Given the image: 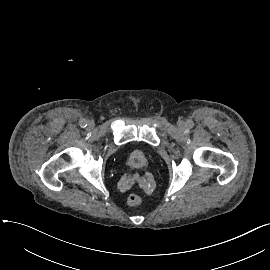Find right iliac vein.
<instances>
[{
    "instance_id": "63e3f726",
    "label": "right iliac vein",
    "mask_w": 270,
    "mask_h": 270,
    "mask_svg": "<svg viewBox=\"0 0 270 270\" xmlns=\"http://www.w3.org/2000/svg\"><path fill=\"white\" fill-rule=\"evenodd\" d=\"M88 127H89V128H93V127H94V123H93V122H89V123H88Z\"/></svg>"
}]
</instances>
